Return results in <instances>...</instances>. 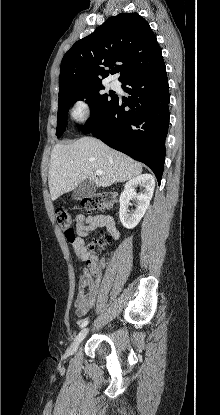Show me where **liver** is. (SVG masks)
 <instances>
[{"instance_id":"liver-1","label":"liver","mask_w":220,"mask_h":415,"mask_svg":"<svg viewBox=\"0 0 220 415\" xmlns=\"http://www.w3.org/2000/svg\"><path fill=\"white\" fill-rule=\"evenodd\" d=\"M97 170L102 175L96 176ZM142 165L115 151L94 137H82L70 144H56L49 167V189L52 200L74 190L85 179L97 187H108L139 176Z\"/></svg>"}]
</instances>
